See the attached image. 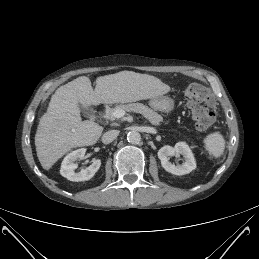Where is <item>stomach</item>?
I'll return each mask as SVG.
<instances>
[{
	"label": "stomach",
	"instance_id": "1",
	"mask_svg": "<svg viewBox=\"0 0 259 259\" xmlns=\"http://www.w3.org/2000/svg\"><path fill=\"white\" fill-rule=\"evenodd\" d=\"M150 106L162 112H170L174 108V102L167 96H158L150 100Z\"/></svg>",
	"mask_w": 259,
	"mask_h": 259
}]
</instances>
